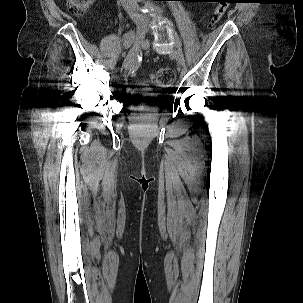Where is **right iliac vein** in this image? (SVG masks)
<instances>
[{"label":"right iliac vein","mask_w":303,"mask_h":303,"mask_svg":"<svg viewBox=\"0 0 303 303\" xmlns=\"http://www.w3.org/2000/svg\"><path fill=\"white\" fill-rule=\"evenodd\" d=\"M147 30V23L145 21H137L136 22V33H135V41L134 44L128 53L127 57L124 60L123 67H130L141 49V46L145 39V34Z\"/></svg>","instance_id":"63e3f726"}]
</instances>
